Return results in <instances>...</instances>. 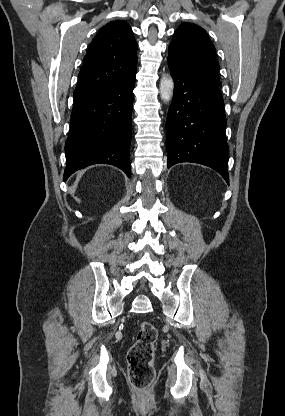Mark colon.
Wrapping results in <instances>:
<instances>
[{
    "instance_id": "obj_1",
    "label": "colon",
    "mask_w": 285,
    "mask_h": 416,
    "mask_svg": "<svg viewBox=\"0 0 285 416\" xmlns=\"http://www.w3.org/2000/svg\"><path fill=\"white\" fill-rule=\"evenodd\" d=\"M157 339L156 327L148 321L139 324L136 341L128 351L127 361L129 380L137 391L140 406H148L151 401V387L155 380L154 345Z\"/></svg>"
}]
</instances>
